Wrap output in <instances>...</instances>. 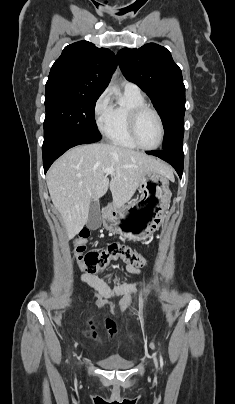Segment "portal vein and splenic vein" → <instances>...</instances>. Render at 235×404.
<instances>
[{
  "instance_id": "portal-vein-and-splenic-vein-1",
  "label": "portal vein and splenic vein",
  "mask_w": 235,
  "mask_h": 404,
  "mask_svg": "<svg viewBox=\"0 0 235 404\" xmlns=\"http://www.w3.org/2000/svg\"><path fill=\"white\" fill-rule=\"evenodd\" d=\"M103 172H104L105 174H107V175L113 174V173H114V169H112V168H106V169L103 170Z\"/></svg>"
}]
</instances>
